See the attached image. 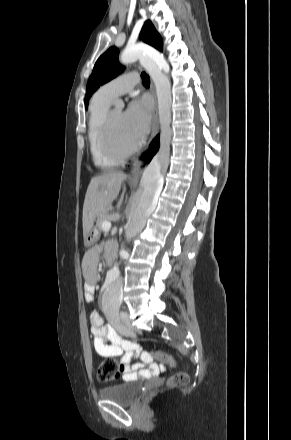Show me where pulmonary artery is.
I'll use <instances>...</instances> for the list:
<instances>
[{
	"label": "pulmonary artery",
	"instance_id": "pulmonary-artery-1",
	"mask_svg": "<svg viewBox=\"0 0 291 440\" xmlns=\"http://www.w3.org/2000/svg\"><path fill=\"white\" fill-rule=\"evenodd\" d=\"M140 82V77L136 73H127L109 81L98 90L100 95L112 100L115 97L130 93Z\"/></svg>",
	"mask_w": 291,
	"mask_h": 440
}]
</instances>
